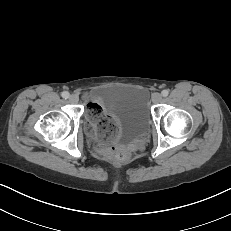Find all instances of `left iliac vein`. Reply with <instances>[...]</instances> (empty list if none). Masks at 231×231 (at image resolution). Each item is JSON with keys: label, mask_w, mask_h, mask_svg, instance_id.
<instances>
[{"label": "left iliac vein", "mask_w": 231, "mask_h": 231, "mask_svg": "<svg viewBox=\"0 0 231 231\" xmlns=\"http://www.w3.org/2000/svg\"><path fill=\"white\" fill-rule=\"evenodd\" d=\"M151 99L155 104L160 103L162 101V95L160 93H154Z\"/></svg>", "instance_id": "left-iliac-vein-1"}]
</instances>
